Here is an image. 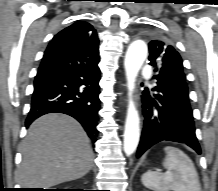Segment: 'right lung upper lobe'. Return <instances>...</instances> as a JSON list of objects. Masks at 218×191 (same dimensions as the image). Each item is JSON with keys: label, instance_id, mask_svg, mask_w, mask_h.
Masks as SVG:
<instances>
[{"label": "right lung upper lobe", "instance_id": "right-lung-upper-lobe-1", "mask_svg": "<svg viewBox=\"0 0 218 191\" xmlns=\"http://www.w3.org/2000/svg\"><path fill=\"white\" fill-rule=\"evenodd\" d=\"M52 41L64 42L80 48L98 47L95 29L87 22L79 21L63 29Z\"/></svg>", "mask_w": 218, "mask_h": 191}]
</instances>
